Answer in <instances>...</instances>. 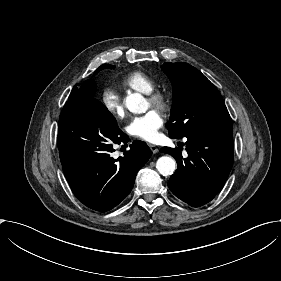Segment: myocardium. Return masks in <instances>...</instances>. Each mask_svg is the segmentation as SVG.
<instances>
[{"mask_svg": "<svg viewBox=\"0 0 281 281\" xmlns=\"http://www.w3.org/2000/svg\"><path fill=\"white\" fill-rule=\"evenodd\" d=\"M147 102L151 107H154L159 110H165L167 107V101L163 94L153 93L148 96Z\"/></svg>", "mask_w": 281, "mask_h": 281, "instance_id": "f54148a6", "label": "myocardium"}]
</instances>
